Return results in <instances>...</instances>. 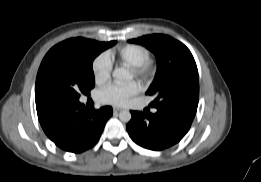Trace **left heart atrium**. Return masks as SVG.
Masks as SVG:
<instances>
[{
	"instance_id": "left-heart-atrium-1",
	"label": "left heart atrium",
	"mask_w": 261,
	"mask_h": 182,
	"mask_svg": "<svg viewBox=\"0 0 261 182\" xmlns=\"http://www.w3.org/2000/svg\"><path fill=\"white\" fill-rule=\"evenodd\" d=\"M139 91L140 86L134 81L126 85L110 84L99 91L98 99L104 104L125 106Z\"/></svg>"
}]
</instances>
